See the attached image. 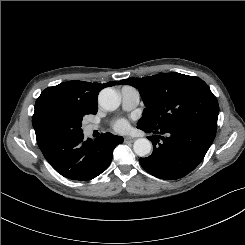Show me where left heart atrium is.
I'll use <instances>...</instances> for the list:
<instances>
[{"label":"left heart atrium","mask_w":245,"mask_h":245,"mask_svg":"<svg viewBox=\"0 0 245 245\" xmlns=\"http://www.w3.org/2000/svg\"><path fill=\"white\" fill-rule=\"evenodd\" d=\"M113 128L117 132L124 133V132L128 131V129H129L128 121L125 119H120V120L115 122Z\"/></svg>","instance_id":"39dd6f15"}]
</instances>
